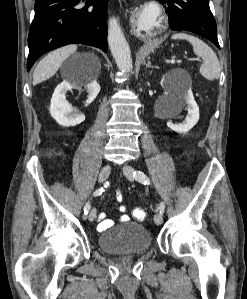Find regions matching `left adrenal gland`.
<instances>
[{
    "label": "left adrenal gland",
    "instance_id": "1",
    "mask_svg": "<svg viewBox=\"0 0 247 299\" xmlns=\"http://www.w3.org/2000/svg\"><path fill=\"white\" fill-rule=\"evenodd\" d=\"M146 68H157L158 69V67L157 66H151V62H150V60L148 59V61H147V64H146Z\"/></svg>",
    "mask_w": 247,
    "mask_h": 299
}]
</instances>
